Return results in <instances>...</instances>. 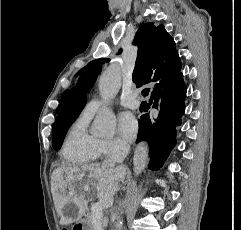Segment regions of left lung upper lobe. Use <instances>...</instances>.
<instances>
[{
	"label": "left lung upper lobe",
	"mask_w": 241,
	"mask_h": 230,
	"mask_svg": "<svg viewBox=\"0 0 241 230\" xmlns=\"http://www.w3.org/2000/svg\"><path fill=\"white\" fill-rule=\"evenodd\" d=\"M100 71L101 66L89 70L79 79L76 87L71 89L68 97L65 99L63 108L56 118L52 131L53 148L55 150L61 148L68 128L84 108L87 100L86 92H89L92 89Z\"/></svg>",
	"instance_id": "5c2ea615"
}]
</instances>
